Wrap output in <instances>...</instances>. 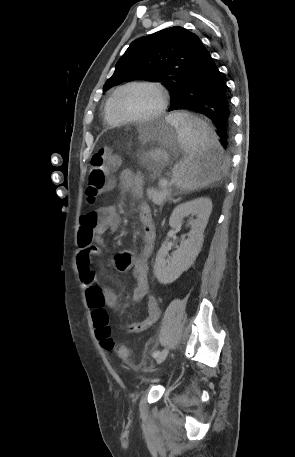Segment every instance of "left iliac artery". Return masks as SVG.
<instances>
[{
    "mask_svg": "<svg viewBox=\"0 0 295 457\" xmlns=\"http://www.w3.org/2000/svg\"><path fill=\"white\" fill-rule=\"evenodd\" d=\"M159 354H160V351L157 350V351H155V352L153 353V357H154V358H157Z\"/></svg>",
    "mask_w": 295,
    "mask_h": 457,
    "instance_id": "left-iliac-artery-1",
    "label": "left iliac artery"
}]
</instances>
